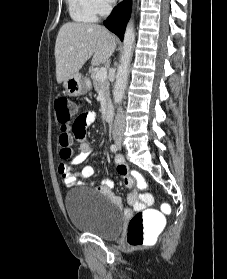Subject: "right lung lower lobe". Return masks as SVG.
I'll list each match as a JSON object with an SVG mask.
<instances>
[{
    "mask_svg": "<svg viewBox=\"0 0 227 279\" xmlns=\"http://www.w3.org/2000/svg\"><path fill=\"white\" fill-rule=\"evenodd\" d=\"M131 13V0H124L118 4L111 15L104 21V25L123 41L127 21Z\"/></svg>",
    "mask_w": 227,
    "mask_h": 279,
    "instance_id": "obj_1",
    "label": "right lung lower lobe"
}]
</instances>
